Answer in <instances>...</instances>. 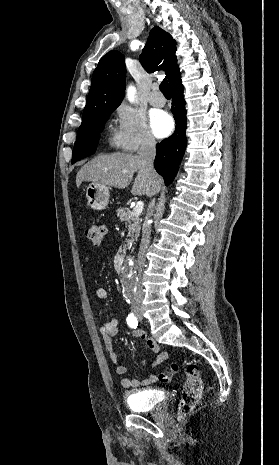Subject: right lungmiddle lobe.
<instances>
[{
  "label": "right lung middle lobe",
  "mask_w": 279,
  "mask_h": 465,
  "mask_svg": "<svg viewBox=\"0 0 279 465\" xmlns=\"http://www.w3.org/2000/svg\"><path fill=\"white\" fill-rule=\"evenodd\" d=\"M114 109H107L99 113L92 121L82 125L78 129L77 139L74 144L72 163L90 156L96 150L105 122Z\"/></svg>",
  "instance_id": "1"
}]
</instances>
